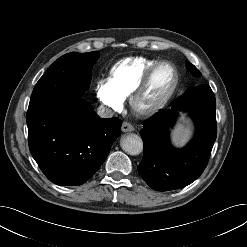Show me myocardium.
<instances>
[{
	"label": "myocardium",
	"instance_id": "f54148a6",
	"mask_svg": "<svg viewBox=\"0 0 247 247\" xmlns=\"http://www.w3.org/2000/svg\"><path fill=\"white\" fill-rule=\"evenodd\" d=\"M163 65H168L173 70L174 73L173 83L170 89L168 90V92L164 95V97L160 101H158L155 105L149 108L141 109L139 107V101L142 95L144 94V91L147 88L152 75L158 68H160ZM179 81H180V75L176 66L173 63L166 60H161L156 62L144 72V74L141 76L140 80L132 90L131 94L129 95V105L132 112L142 118H147L155 115L160 110H162L170 101V99L173 97L179 85Z\"/></svg>",
	"mask_w": 247,
	"mask_h": 247
}]
</instances>
